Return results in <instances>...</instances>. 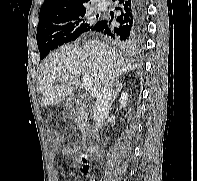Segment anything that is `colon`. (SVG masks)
I'll list each match as a JSON object with an SVG mask.
<instances>
[{
  "mask_svg": "<svg viewBox=\"0 0 197 181\" xmlns=\"http://www.w3.org/2000/svg\"><path fill=\"white\" fill-rule=\"evenodd\" d=\"M46 138L52 147L58 148V146L61 142V138L58 136L57 131L53 126H49L46 128ZM80 162H81V171L84 174H87L89 172L90 166L88 164L86 154L81 155Z\"/></svg>",
  "mask_w": 197,
  "mask_h": 181,
  "instance_id": "colon-1",
  "label": "colon"
}]
</instances>
